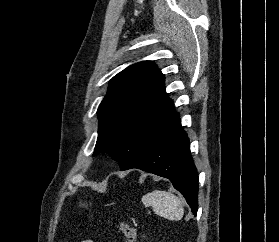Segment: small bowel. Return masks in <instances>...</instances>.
<instances>
[{
	"label": "small bowel",
	"mask_w": 279,
	"mask_h": 242,
	"mask_svg": "<svg viewBox=\"0 0 279 242\" xmlns=\"http://www.w3.org/2000/svg\"><path fill=\"white\" fill-rule=\"evenodd\" d=\"M81 242H95V241H93L92 239H85V240H82Z\"/></svg>",
	"instance_id": "1"
}]
</instances>
